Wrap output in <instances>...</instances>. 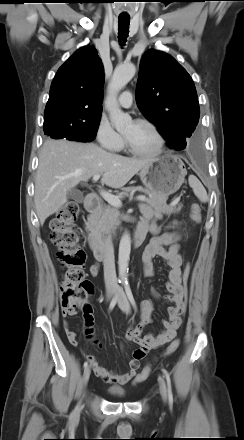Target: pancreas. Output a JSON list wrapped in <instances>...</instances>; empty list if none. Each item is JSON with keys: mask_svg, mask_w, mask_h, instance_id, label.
I'll list each match as a JSON object with an SVG mask.
<instances>
[{"mask_svg": "<svg viewBox=\"0 0 244 440\" xmlns=\"http://www.w3.org/2000/svg\"><path fill=\"white\" fill-rule=\"evenodd\" d=\"M135 191H141L149 194V198H147L146 201L147 204L152 207L156 212L164 213L168 216L173 213H179L183 206L182 204H179L178 206L173 204L167 205V197L149 193L146 189L140 187L124 188L117 197L123 198L129 193ZM118 215V211L110 205L100 209L89 221V227L91 229L92 235L98 241H102L104 234L114 233L117 229V226L120 224Z\"/></svg>", "mask_w": 244, "mask_h": 440, "instance_id": "obj_1", "label": "pancreas"}]
</instances>
